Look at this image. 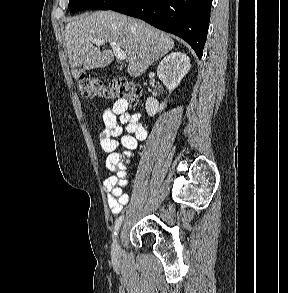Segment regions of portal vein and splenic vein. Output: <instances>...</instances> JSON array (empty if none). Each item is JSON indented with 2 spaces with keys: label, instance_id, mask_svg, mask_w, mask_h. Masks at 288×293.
I'll return each mask as SVG.
<instances>
[{
  "label": "portal vein and splenic vein",
  "instance_id": "obj_1",
  "mask_svg": "<svg viewBox=\"0 0 288 293\" xmlns=\"http://www.w3.org/2000/svg\"><path fill=\"white\" fill-rule=\"evenodd\" d=\"M91 41L98 46L105 43V40H103V39L92 38ZM109 44H110L111 48L113 49V52L118 60H120V61L126 60V58H127L126 52L124 50H122L119 47V45H117L116 43H114L112 41H109Z\"/></svg>",
  "mask_w": 288,
  "mask_h": 293
}]
</instances>
